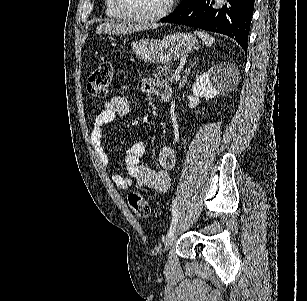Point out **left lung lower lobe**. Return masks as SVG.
Segmentation results:
<instances>
[{
    "mask_svg": "<svg viewBox=\"0 0 307 301\" xmlns=\"http://www.w3.org/2000/svg\"><path fill=\"white\" fill-rule=\"evenodd\" d=\"M217 12L210 0H182L177 9L161 22L183 24L234 38L247 52L254 0H227Z\"/></svg>",
    "mask_w": 307,
    "mask_h": 301,
    "instance_id": "obj_1",
    "label": "left lung lower lobe"
}]
</instances>
